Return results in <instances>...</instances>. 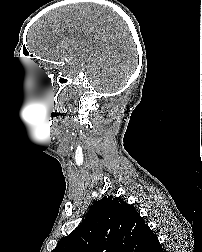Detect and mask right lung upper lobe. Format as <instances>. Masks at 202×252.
Listing matches in <instances>:
<instances>
[{"mask_svg":"<svg viewBox=\"0 0 202 252\" xmlns=\"http://www.w3.org/2000/svg\"><path fill=\"white\" fill-rule=\"evenodd\" d=\"M159 246L133 206L120 197L105 196L52 252H155Z\"/></svg>","mask_w":202,"mask_h":252,"instance_id":"1","label":"right lung upper lobe"}]
</instances>
